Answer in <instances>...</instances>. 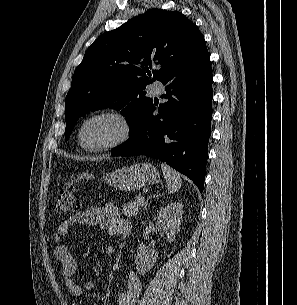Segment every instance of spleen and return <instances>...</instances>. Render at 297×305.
<instances>
[{"mask_svg":"<svg viewBox=\"0 0 297 305\" xmlns=\"http://www.w3.org/2000/svg\"><path fill=\"white\" fill-rule=\"evenodd\" d=\"M161 169L167 183V188L170 193H175L182 185L180 175L168 165L162 163Z\"/></svg>","mask_w":297,"mask_h":305,"instance_id":"obj_1","label":"spleen"}]
</instances>
